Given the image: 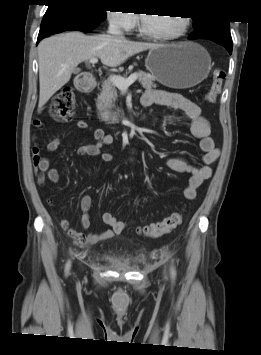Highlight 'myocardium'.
<instances>
[{
    "instance_id": "obj_1",
    "label": "myocardium",
    "mask_w": 261,
    "mask_h": 355,
    "mask_svg": "<svg viewBox=\"0 0 261 355\" xmlns=\"http://www.w3.org/2000/svg\"><path fill=\"white\" fill-rule=\"evenodd\" d=\"M180 18L182 20L181 29L178 32L174 33V34L165 35V34H158V33H155V32H152V31L148 30L145 27L143 16H140L139 31L145 37H148V38L154 39V40H160V41L177 40V39L181 38L182 36H184L186 34V32L188 31V28L190 26L189 17L180 16Z\"/></svg>"
}]
</instances>
